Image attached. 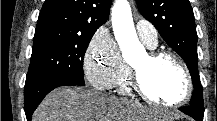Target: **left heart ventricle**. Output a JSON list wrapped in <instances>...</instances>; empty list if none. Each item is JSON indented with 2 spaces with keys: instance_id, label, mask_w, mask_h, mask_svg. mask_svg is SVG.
Instances as JSON below:
<instances>
[{
  "instance_id": "b2bd125f",
  "label": "left heart ventricle",
  "mask_w": 217,
  "mask_h": 121,
  "mask_svg": "<svg viewBox=\"0 0 217 121\" xmlns=\"http://www.w3.org/2000/svg\"><path fill=\"white\" fill-rule=\"evenodd\" d=\"M132 66L137 68L148 93L165 103L178 100L185 90L184 76L179 67L168 58L152 63L144 55Z\"/></svg>"
}]
</instances>
